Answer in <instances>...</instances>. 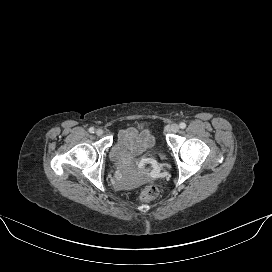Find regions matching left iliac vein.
I'll return each mask as SVG.
<instances>
[{
	"label": "left iliac vein",
	"instance_id": "obj_1",
	"mask_svg": "<svg viewBox=\"0 0 272 272\" xmlns=\"http://www.w3.org/2000/svg\"><path fill=\"white\" fill-rule=\"evenodd\" d=\"M169 131H171V132H173V133L178 132V131H179V125H178V124H176V123H174V124L170 125V127H169Z\"/></svg>",
	"mask_w": 272,
	"mask_h": 272
}]
</instances>
